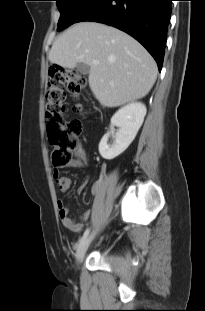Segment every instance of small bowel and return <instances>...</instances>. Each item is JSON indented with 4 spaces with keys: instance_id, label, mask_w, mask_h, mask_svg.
<instances>
[{
    "instance_id": "obj_1",
    "label": "small bowel",
    "mask_w": 205,
    "mask_h": 311,
    "mask_svg": "<svg viewBox=\"0 0 205 311\" xmlns=\"http://www.w3.org/2000/svg\"><path fill=\"white\" fill-rule=\"evenodd\" d=\"M87 153L83 146H79L74 151V158L67 164L68 167L72 168H84L87 164ZM54 176L56 178V183L59 190L62 193H68L71 186V180L68 177L60 176L58 170H54ZM103 181V177L101 176L99 180L92 187V194H96L100 188V185ZM59 217L63 226L71 232H80L85 222L90 217L91 211L87 210L83 213V215L77 219H73L69 216V209L64 200L59 199L57 201Z\"/></svg>"
}]
</instances>
